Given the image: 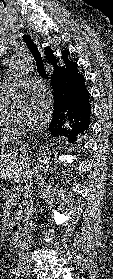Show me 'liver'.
Masks as SVG:
<instances>
[{
  "instance_id": "6515ba94",
  "label": "liver",
  "mask_w": 113,
  "mask_h": 279,
  "mask_svg": "<svg viewBox=\"0 0 113 279\" xmlns=\"http://www.w3.org/2000/svg\"><path fill=\"white\" fill-rule=\"evenodd\" d=\"M30 162L25 157H18L17 152H0V178L14 179L17 183H23L30 175Z\"/></svg>"
}]
</instances>
